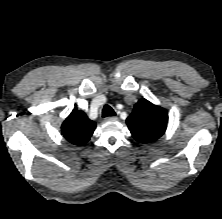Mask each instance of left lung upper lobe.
<instances>
[{"mask_svg":"<svg viewBox=\"0 0 222 219\" xmlns=\"http://www.w3.org/2000/svg\"><path fill=\"white\" fill-rule=\"evenodd\" d=\"M167 111L146 99H140L126 119L132 136L141 143L157 140L167 127Z\"/></svg>","mask_w":222,"mask_h":219,"instance_id":"1","label":"left lung upper lobe"}]
</instances>
